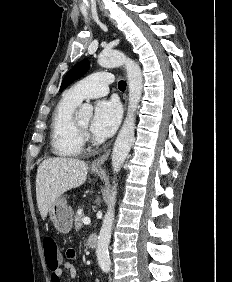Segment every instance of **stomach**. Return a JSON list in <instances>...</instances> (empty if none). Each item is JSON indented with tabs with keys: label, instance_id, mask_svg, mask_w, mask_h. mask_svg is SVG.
Instances as JSON below:
<instances>
[{
	"label": "stomach",
	"instance_id": "0dacf381",
	"mask_svg": "<svg viewBox=\"0 0 232 282\" xmlns=\"http://www.w3.org/2000/svg\"><path fill=\"white\" fill-rule=\"evenodd\" d=\"M93 173H99L100 170L93 169ZM49 218L57 231L69 233L73 224V209L67 204L64 197H59L49 210Z\"/></svg>",
	"mask_w": 232,
	"mask_h": 282
}]
</instances>
